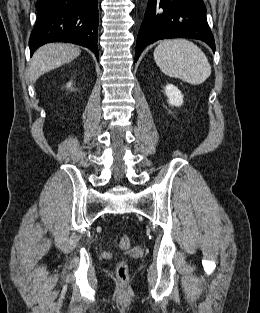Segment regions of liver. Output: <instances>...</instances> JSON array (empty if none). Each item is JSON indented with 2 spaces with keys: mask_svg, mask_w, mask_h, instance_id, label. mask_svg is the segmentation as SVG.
I'll use <instances>...</instances> for the list:
<instances>
[{
  "mask_svg": "<svg viewBox=\"0 0 260 313\" xmlns=\"http://www.w3.org/2000/svg\"><path fill=\"white\" fill-rule=\"evenodd\" d=\"M81 53L79 47L67 43H49L35 51L30 61L29 78L35 82L41 75L71 62Z\"/></svg>",
  "mask_w": 260,
  "mask_h": 313,
  "instance_id": "obj_1",
  "label": "liver"
}]
</instances>
